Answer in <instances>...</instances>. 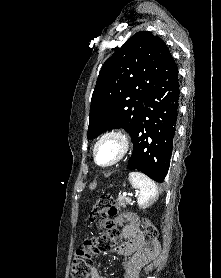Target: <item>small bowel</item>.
Here are the masks:
<instances>
[{
    "label": "small bowel",
    "mask_w": 221,
    "mask_h": 278,
    "mask_svg": "<svg viewBox=\"0 0 221 278\" xmlns=\"http://www.w3.org/2000/svg\"><path fill=\"white\" fill-rule=\"evenodd\" d=\"M115 222L120 227V238L123 241L114 249V252L117 255L129 257L122 263L123 278H139L142 267L155 257L157 251L150 252L144 249L145 236L137 216L131 215L128 222L118 217ZM90 278L106 277L101 276L98 270L93 268Z\"/></svg>",
    "instance_id": "small-bowel-1"
}]
</instances>
